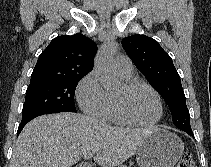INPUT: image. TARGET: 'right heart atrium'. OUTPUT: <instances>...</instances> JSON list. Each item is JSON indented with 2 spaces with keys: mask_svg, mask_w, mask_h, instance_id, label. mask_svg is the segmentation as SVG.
<instances>
[{
  "mask_svg": "<svg viewBox=\"0 0 211 167\" xmlns=\"http://www.w3.org/2000/svg\"><path fill=\"white\" fill-rule=\"evenodd\" d=\"M76 97L85 114L105 120L110 100L96 72L92 71L81 79L76 88Z\"/></svg>",
  "mask_w": 211,
  "mask_h": 167,
  "instance_id": "right-heart-atrium-1",
  "label": "right heart atrium"
}]
</instances>
